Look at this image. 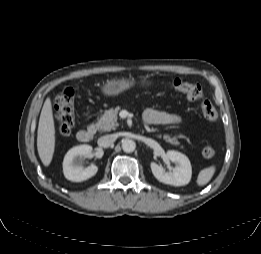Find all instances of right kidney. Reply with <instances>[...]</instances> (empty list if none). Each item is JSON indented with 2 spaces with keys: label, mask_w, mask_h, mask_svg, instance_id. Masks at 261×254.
Listing matches in <instances>:
<instances>
[{
  "label": "right kidney",
  "mask_w": 261,
  "mask_h": 254,
  "mask_svg": "<svg viewBox=\"0 0 261 254\" xmlns=\"http://www.w3.org/2000/svg\"><path fill=\"white\" fill-rule=\"evenodd\" d=\"M92 147L90 145H79L71 148L63 160V173L66 179L73 182H81L94 176L98 167L90 165L83 167L82 161L90 156Z\"/></svg>",
  "instance_id": "right-kidney-1"
}]
</instances>
